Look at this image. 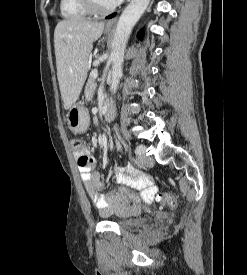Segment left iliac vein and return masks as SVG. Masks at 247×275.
I'll use <instances>...</instances> for the list:
<instances>
[{"label":"left iliac vein","instance_id":"4c4485c4","mask_svg":"<svg viewBox=\"0 0 247 275\" xmlns=\"http://www.w3.org/2000/svg\"><path fill=\"white\" fill-rule=\"evenodd\" d=\"M140 148V152L137 154L139 164L146 167H152L154 165V160L151 157L144 155L145 147L143 145H140Z\"/></svg>","mask_w":247,"mask_h":275}]
</instances>
